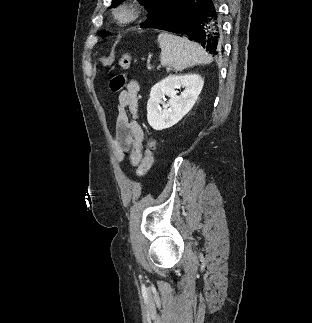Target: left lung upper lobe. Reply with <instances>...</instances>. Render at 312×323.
<instances>
[{
    "label": "left lung upper lobe",
    "mask_w": 312,
    "mask_h": 323,
    "mask_svg": "<svg viewBox=\"0 0 312 323\" xmlns=\"http://www.w3.org/2000/svg\"><path fill=\"white\" fill-rule=\"evenodd\" d=\"M124 0H112V8L117 7ZM148 9V18L141 23V28H156L171 11V4L175 0H138ZM104 33V31L102 32Z\"/></svg>",
    "instance_id": "5c2ea615"
}]
</instances>
